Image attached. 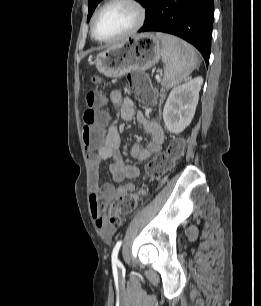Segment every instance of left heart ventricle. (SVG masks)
Listing matches in <instances>:
<instances>
[{
	"mask_svg": "<svg viewBox=\"0 0 261 306\" xmlns=\"http://www.w3.org/2000/svg\"><path fill=\"white\" fill-rule=\"evenodd\" d=\"M137 19L136 10L125 3H115L104 9L98 17L96 34L106 39L126 33Z\"/></svg>",
	"mask_w": 261,
	"mask_h": 306,
	"instance_id": "left-heart-ventricle-1",
	"label": "left heart ventricle"
}]
</instances>
